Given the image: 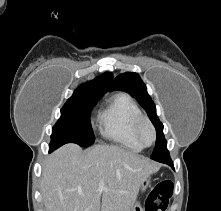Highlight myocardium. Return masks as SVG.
Instances as JSON below:
<instances>
[{
  "label": "myocardium",
  "mask_w": 221,
  "mask_h": 211,
  "mask_svg": "<svg viewBox=\"0 0 221 211\" xmlns=\"http://www.w3.org/2000/svg\"><path fill=\"white\" fill-rule=\"evenodd\" d=\"M146 127L149 128L152 133L153 138L150 143H147L143 137V131ZM134 131H135V136H136L137 140L142 144L143 147H149L156 142L157 131H156L154 124L152 123V121L148 117H146L144 115L139 117L138 120L136 121Z\"/></svg>",
  "instance_id": "f54148a6"
}]
</instances>
